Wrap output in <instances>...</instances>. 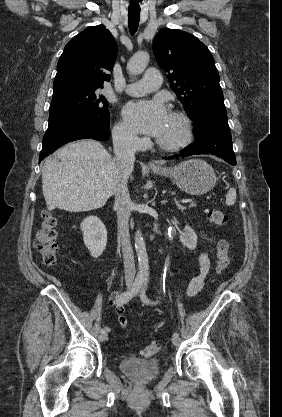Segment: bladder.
<instances>
[{
  "label": "bladder",
  "instance_id": "bladder-1",
  "mask_svg": "<svg viewBox=\"0 0 282 417\" xmlns=\"http://www.w3.org/2000/svg\"><path fill=\"white\" fill-rule=\"evenodd\" d=\"M119 369L133 382L145 385L158 376L160 373V364L157 359L124 356L120 360Z\"/></svg>",
  "mask_w": 282,
  "mask_h": 417
}]
</instances>
